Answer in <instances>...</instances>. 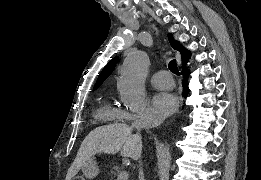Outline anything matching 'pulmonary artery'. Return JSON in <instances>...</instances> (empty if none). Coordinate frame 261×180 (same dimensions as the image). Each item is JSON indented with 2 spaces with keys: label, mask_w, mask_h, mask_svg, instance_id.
<instances>
[{
  "label": "pulmonary artery",
  "mask_w": 261,
  "mask_h": 180,
  "mask_svg": "<svg viewBox=\"0 0 261 180\" xmlns=\"http://www.w3.org/2000/svg\"><path fill=\"white\" fill-rule=\"evenodd\" d=\"M150 82L153 85L162 88H169L173 85L172 75L166 70H161L154 73L150 77Z\"/></svg>",
  "instance_id": "e3ab8cb5"
}]
</instances>
